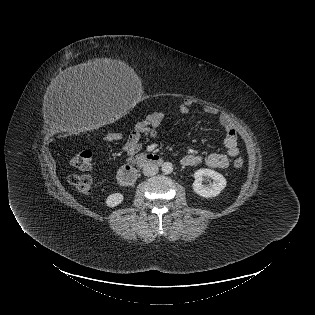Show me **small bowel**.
<instances>
[{"mask_svg": "<svg viewBox=\"0 0 315 315\" xmlns=\"http://www.w3.org/2000/svg\"><path fill=\"white\" fill-rule=\"evenodd\" d=\"M191 105L192 102L186 100L181 103L177 111L173 112L171 115L176 116L187 114ZM204 112L209 115L217 116L220 125L226 131L224 139L226 154L210 153L206 156L186 155L182 158L181 163L185 166H194L200 163H205L211 168H226L229 166L230 158H234L239 154L236 129L230 117L226 113L220 112L216 107L209 105L205 106ZM166 116L167 115L163 112H153L147 115L143 120L137 122L123 145L124 153L128 157H131L139 152L151 139H154L157 135V129L163 123Z\"/></svg>", "mask_w": 315, "mask_h": 315, "instance_id": "1", "label": "small bowel"}]
</instances>
